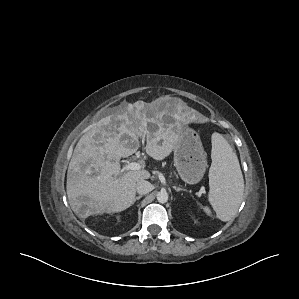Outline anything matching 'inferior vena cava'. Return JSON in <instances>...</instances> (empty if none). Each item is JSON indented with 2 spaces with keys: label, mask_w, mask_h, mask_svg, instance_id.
<instances>
[{
  "label": "inferior vena cava",
  "mask_w": 299,
  "mask_h": 299,
  "mask_svg": "<svg viewBox=\"0 0 299 299\" xmlns=\"http://www.w3.org/2000/svg\"><path fill=\"white\" fill-rule=\"evenodd\" d=\"M154 189V186L144 179L139 180L136 184V190L140 195H145L151 192Z\"/></svg>",
  "instance_id": "1"
}]
</instances>
